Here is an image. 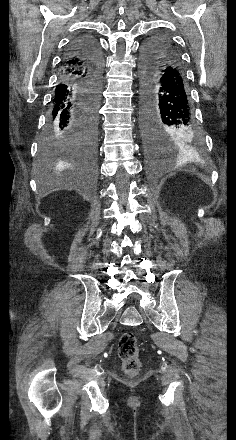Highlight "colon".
<instances>
[{
	"label": "colon",
	"mask_w": 236,
	"mask_h": 440,
	"mask_svg": "<svg viewBox=\"0 0 236 440\" xmlns=\"http://www.w3.org/2000/svg\"><path fill=\"white\" fill-rule=\"evenodd\" d=\"M119 355L127 373L135 374L138 372L141 363L138 357L137 343L132 333H126L122 336L119 343Z\"/></svg>",
	"instance_id": "colon-1"
}]
</instances>
